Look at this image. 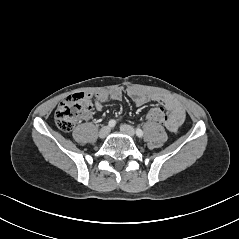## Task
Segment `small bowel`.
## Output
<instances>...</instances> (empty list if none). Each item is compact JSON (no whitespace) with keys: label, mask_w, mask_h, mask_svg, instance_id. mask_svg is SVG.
Masks as SVG:
<instances>
[{"label":"small bowel","mask_w":239,"mask_h":239,"mask_svg":"<svg viewBox=\"0 0 239 239\" xmlns=\"http://www.w3.org/2000/svg\"><path fill=\"white\" fill-rule=\"evenodd\" d=\"M128 96L137 105H144L150 101L163 105L165 109L168 111V115L166 116V120L163 124L172 133H177L179 130V127L182 125V123L185 120L186 113H185V109L183 105L172 96L161 94V93L149 94L136 89L129 90ZM95 98H96L95 108L97 111H101L103 109V104L105 101L109 99L121 100L122 92L121 90H118V89L110 91V92H99L95 95ZM155 107L162 108L161 106H155Z\"/></svg>","instance_id":"small-bowel-1"}]
</instances>
